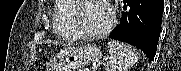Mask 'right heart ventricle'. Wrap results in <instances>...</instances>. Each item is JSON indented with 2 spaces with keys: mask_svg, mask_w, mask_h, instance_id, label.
<instances>
[{
  "mask_svg": "<svg viewBox=\"0 0 181 71\" xmlns=\"http://www.w3.org/2000/svg\"><path fill=\"white\" fill-rule=\"evenodd\" d=\"M71 12V3L64 0L56 1L54 8V30L58 36L64 39H77L70 26Z\"/></svg>",
  "mask_w": 181,
  "mask_h": 71,
  "instance_id": "right-heart-ventricle-1",
  "label": "right heart ventricle"
}]
</instances>
